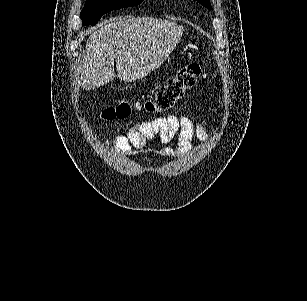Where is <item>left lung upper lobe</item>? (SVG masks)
Segmentation results:
<instances>
[{
	"instance_id": "left-lung-upper-lobe-1",
	"label": "left lung upper lobe",
	"mask_w": 307,
	"mask_h": 301,
	"mask_svg": "<svg viewBox=\"0 0 307 301\" xmlns=\"http://www.w3.org/2000/svg\"><path fill=\"white\" fill-rule=\"evenodd\" d=\"M200 4L205 6L208 9H212L210 1L209 0H197Z\"/></svg>"
}]
</instances>
